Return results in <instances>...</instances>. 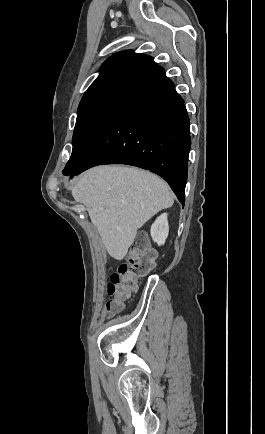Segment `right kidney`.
<instances>
[{
	"label": "right kidney",
	"mask_w": 265,
	"mask_h": 434,
	"mask_svg": "<svg viewBox=\"0 0 265 434\" xmlns=\"http://www.w3.org/2000/svg\"><path fill=\"white\" fill-rule=\"evenodd\" d=\"M169 226L167 214H161L151 226V238L158 246H163L168 238Z\"/></svg>",
	"instance_id": "1"
}]
</instances>
